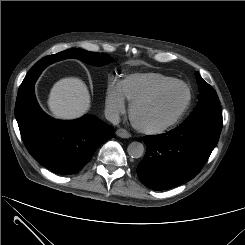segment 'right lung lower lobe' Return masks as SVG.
Returning <instances> with one entry per match:
<instances>
[{
    "mask_svg": "<svg viewBox=\"0 0 245 245\" xmlns=\"http://www.w3.org/2000/svg\"><path fill=\"white\" fill-rule=\"evenodd\" d=\"M15 117L32 157L62 175L78 172L114 132L112 126L92 115L71 121L53 119L39 107L34 85L17 96Z\"/></svg>",
    "mask_w": 245,
    "mask_h": 245,
    "instance_id": "right-lung-lower-lobe-1",
    "label": "right lung lower lobe"
}]
</instances>
